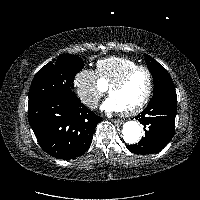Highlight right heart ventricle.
<instances>
[{"label": "right heart ventricle", "mask_w": 200, "mask_h": 200, "mask_svg": "<svg viewBox=\"0 0 200 200\" xmlns=\"http://www.w3.org/2000/svg\"><path fill=\"white\" fill-rule=\"evenodd\" d=\"M134 60L123 56H111L97 62L96 73L106 85H111L127 71L138 67Z\"/></svg>", "instance_id": "1"}]
</instances>
